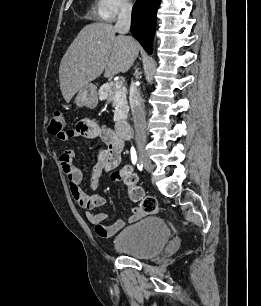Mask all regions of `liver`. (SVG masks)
<instances>
[{"label":"liver","instance_id":"6515ba94","mask_svg":"<svg viewBox=\"0 0 261 306\" xmlns=\"http://www.w3.org/2000/svg\"><path fill=\"white\" fill-rule=\"evenodd\" d=\"M139 54L132 37L118 35L111 24L86 25L64 54L59 67V82L67 103L84 85L98 78L127 72Z\"/></svg>","mask_w":261,"mask_h":306}]
</instances>
